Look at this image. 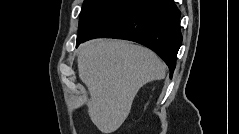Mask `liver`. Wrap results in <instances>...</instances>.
I'll use <instances>...</instances> for the list:
<instances>
[{
    "mask_svg": "<svg viewBox=\"0 0 239 134\" xmlns=\"http://www.w3.org/2000/svg\"><path fill=\"white\" fill-rule=\"evenodd\" d=\"M77 63L79 78L91 96L88 114L104 134L122 125L143 85L165 77V65L154 52L123 40L86 42Z\"/></svg>",
    "mask_w": 239,
    "mask_h": 134,
    "instance_id": "6515ba94",
    "label": "liver"
}]
</instances>
